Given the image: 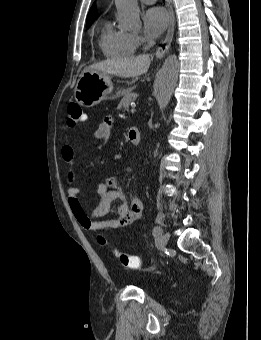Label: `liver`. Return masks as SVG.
Masks as SVG:
<instances>
[{"label": "liver", "instance_id": "obj_1", "mask_svg": "<svg viewBox=\"0 0 261 340\" xmlns=\"http://www.w3.org/2000/svg\"><path fill=\"white\" fill-rule=\"evenodd\" d=\"M150 57L140 55L130 58L107 59L90 65L85 70L117 75L119 77H137L146 73L150 66Z\"/></svg>", "mask_w": 261, "mask_h": 340}]
</instances>
